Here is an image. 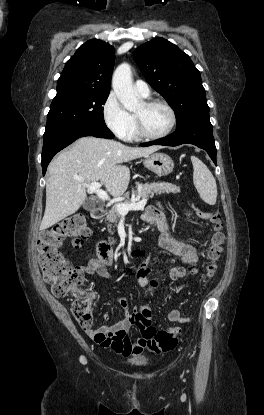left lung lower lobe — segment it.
<instances>
[{"mask_svg":"<svg viewBox=\"0 0 264 415\" xmlns=\"http://www.w3.org/2000/svg\"><path fill=\"white\" fill-rule=\"evenodd\" d=\"M189 143L204 149L216 165V147L212 133V124L209 120V113L196 114L186 119L171 135L141 146L167 145L178 146Z\"/></svg>","mask_w":264,"mask_h":415,"instance_id":"obj_1","label":"left lung lower lobe"}]
</instances>
